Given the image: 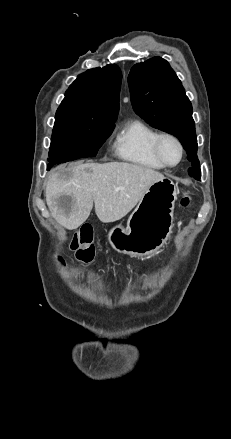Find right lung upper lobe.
<instances>
[{
    "mask_svg": "<svg viewBox=\"0 0 231 439\" xmlns=\"http://www.w3.org/2000/svg\"><path fill=\"white\" fill-rule=\"evenodd\" d=\"M122 74L115 64L79 75L65 94L55 118L88 117L114 123L119 111Z\"/></svg>",
    "mask_w": 231,
    "mask_h": 439,
    "instance_id": "obj_1",
    "label": "right lung upper lobe"
}]
</instances>
